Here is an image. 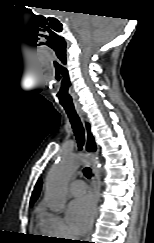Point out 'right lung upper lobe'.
<instances>
[{
	"label": "right lung upper lobe",
	"instance_id": "right-lung-upper-lobe-1",
	"mask_svg": "<svg viewBox=\"0 0 154 243\" xmlns=\"http://www.w3.org/2000/svg\"><path fill=\"white\" fill-rule=\"evenodd\" d=\"M41 184H42V181H41V179H39L34 187V191L31 196V200H30L31 205L36 201V199L38 198V196L40 194Z\"/></svg>",
	"mask_w": 154,
	"mask_h": 243
}]
</instances>
